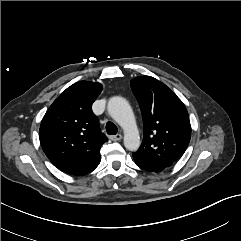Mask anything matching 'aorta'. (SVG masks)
<instances>
[{
  "label": "aorta",
  "mask_w": 241,
  "mask_h": 241,
  "mask_svg": "<svg viewBox=\"0 0 241 241\" xmlns=\"http://www.w3.org/2000/svg\"><path fill=\"white\" fill-rule=\"evenodd\" d=\"M109 115L124 130V146L130 151L140 147V136L135 116L128 101L122 97H112L107 105Z\"/></svg>",
  "instance_id": "obj_1"
}]
</instances>
